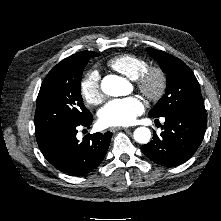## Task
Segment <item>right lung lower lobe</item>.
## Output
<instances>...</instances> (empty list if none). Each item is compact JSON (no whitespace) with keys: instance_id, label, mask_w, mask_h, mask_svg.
<instances>
[{"instance_id":"1","label":"right lung lower lobe","mask_w":221,"mask_h":221,"mask_svg":"<svg viewBox=\"0 0 221 221\" xmlns=\"http://www.w3.org/2000/svg\"><path fill=\"white\" fill-rule=\"evenodd\" d=\"M92 120L91 114L79 124L58 125L36 132L41 152L55 168L71 176H82L103 161L111 132L87 135L81 142L76 138L77 127L89 128Z\"/></svg>"}]
</instances>
